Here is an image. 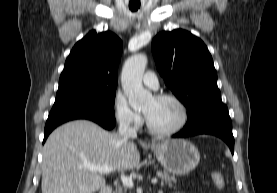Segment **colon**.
Returning <instances> with one entry per match:
<instances>
[{
	"mask_svg": "<svg viewBox=\"0 0 277 193\" xmlns=\"http://www.w3.org/2000/svg\"><path fill=\"white\" fill-rule=\"evenodd\" d=\"M211 179L212 182L214 184V186L219 189L222 190L225 187V178L224 175L219 172V171H214L211 173Z\"/></svg>",
	"mask_w": 277,
	"mask_h": 193,
	"instance_id": "5ec220e1",
	"label": "colon"
}]
</instances>
